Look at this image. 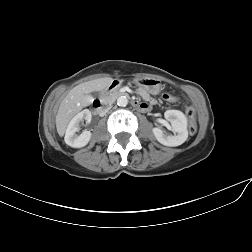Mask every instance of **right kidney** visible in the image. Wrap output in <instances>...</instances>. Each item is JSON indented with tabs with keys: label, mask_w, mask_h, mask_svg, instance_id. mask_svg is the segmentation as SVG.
Returning a JSON list of instances; mask_svg holds the SVG:
<instances>
[{
	"label": "right kidney",
	"mask_w": 252,
	"mask_h": 252,
	"mask_svg": "<svg viewBox=\"0 0 252 252\" xmlns=\"http://www.w3.org/2000/svg\"><path fill=\"white\" fill-rule=\"evenodd\" d=\"M91 118V112L88 109H84L71 119L64 137L67 145L73 148H81L88 144L91 138V132L88 130H84L81 134H77L76 132L79 131L80 122L85 120L87 123H90Z\"/></svg>",
	"instance_id": "ca27d5eb"
}]
</instances>
